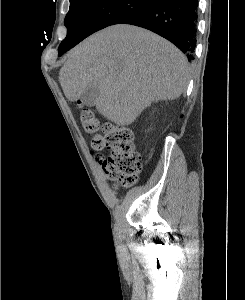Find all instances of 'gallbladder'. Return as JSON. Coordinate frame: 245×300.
<instances>
[{"label":"gallbladder","instance_id":"obj_1","mask_svg":"<svg viewBox=\"0 0 245 300\" xmlns=\"http://www.w3.org/2000/svg\"><path fill=\"white\" fill-rule=\"evenodd\" d=\"M99 94L98 87L94 84L88 86L85 91L82 93V102L87 106H94L96 97Z\"/></svg>","mask_w":245,"mask_h":300}]
</instances>
